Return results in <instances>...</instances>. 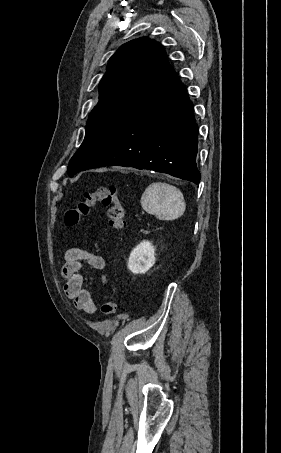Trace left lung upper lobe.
<instances>
[{
    "label": "left lung upper lobe",
    "instance_id": "5c2ea615",
    "mask_svg": "<svg viewBox=\"0 0 281 453\" xmlns=\"http://www.w3.org/2000/svg\"><path fill=\"white\" fill-rule=\"evenodd\" d=\"M167 62L160 43L147 37L123 44L110 58L99 84V102L91 111L83 143L71 158V176L91 162L147 93Z\"/></svg>",
    "mask_w": 281,
    "mask_h": 453
}]
</instances>
